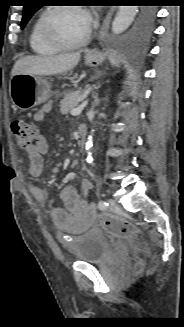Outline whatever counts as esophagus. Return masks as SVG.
<instances>
[{
  "instance_id": "obj_1",
  "label": "esophagus",
  "mask_w": 184,
  "mask_h": 327,
  "mask_svg": "<svg viewBox=\"0 0 184 327\" xmlns=\"http://www.w3.org/2000/svg\"><path fill=\"white\" fill-rule=\"evenodd\" d=\"M112 10L108 12V14L106 15L105 19H104V22H103V25H102V28L100 30V33H99V40H103L107 30H108V27H109V24H110V20H111V17H112ZM99 53V50L97 48H94L93 50H91L89 52V55H97Z\"/></svg>"
}]
</instances>
